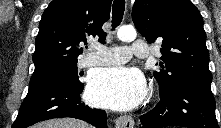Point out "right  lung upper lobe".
Here are the masks:
<instances>
[{"mask_svg":"<svg viewBox=\"0 0 221 128\" xmlns=\"http://www.w3.org/2000/svg\"><path fill=\"white\" fill-rule=\"evenodd\" d=\"M112 0H53L44 11L35 41L32 76L76 65L79 44L92 37L103 43L102 25L109 20Z\"/></svg>","mask_w":221,"mask_h":128,"instance_id":"obj_1","label":"right lung upper lobe"}]
</instances>
